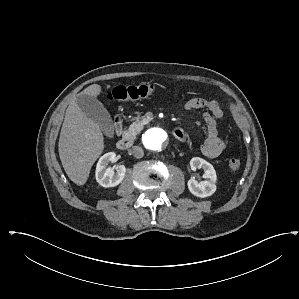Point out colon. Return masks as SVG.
I'll return each mask as SVG.
<instances>
[{"label":"colon","mask_w":299,"mask_h":299,"mask_svg":"<svg viewBox=\"0 0 299 299\" xmlns=\"http://www.w3.org/2000/svg\"><path fill=\"white\" fill-rule=\"evenodd\" d=\"M155 86L152 84L142 83L129 86H118L106 92V97L111 101L128 102L141 98L150 97L155 93ZM241 166V161L238 158L229 160V168L238 170Z\"/></svg>","instance_id":"colon-1"}]
</instances>
